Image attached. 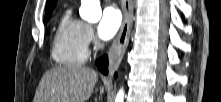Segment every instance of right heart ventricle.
I'll return each mask as SVG.
<instances>
[{"label": "right heart ventricle", "mask_w": 221, "mask_h": 102, "mask_svg": "<svg viewBox=\"0 0 221 102\" xmlns=\"http://www.w3.org/2000/svg\"><path fill=\"white\" fill-rule=\"evenodd\" d=\"M85 24L66 10L57 22L52 40V57L60 65L80 66L88 58L84 38Z\"/></svg>", "instance_id": "e07e8e85"}]
</instances>
